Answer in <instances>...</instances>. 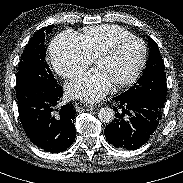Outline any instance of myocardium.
<instances>
[{
    "mask_svg": "<svg viewBox=\"0 0 183 183\" xmlns=\"http://www.w3.org/2000/svg\"><path fill=\"white\" fill-rule=\"evenodd\" d=\"M128 41H137L141 44L142 57H141V60L138 64L137 68L128 78L113 84V87L115 89H122V88L128 87L137 81V79L141 75V73L146 65V62H147L148 49H147L146 43L141 38L134 36V35L122 37V38L115 40L113 43H111L108 47H106L105 49L100 51L93 58L94 63H96L100 59L107 58V57L113 55L122 44H124L125 42H128Z\"/></svg>",
    "mask_w": 183,
    "mask_h": 183,
    "instance_id": "obj_1",
    "label": "myocardium"
}]
</instances>
